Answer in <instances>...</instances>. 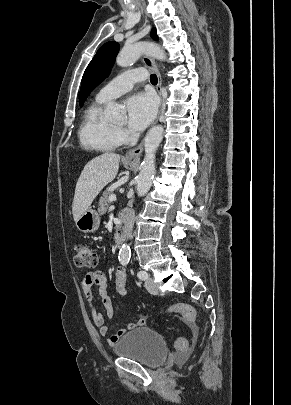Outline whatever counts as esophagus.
Instances as JSON below:
<instances>
[{
    "mask_svg": "<svg viewBox=\"0 0 291 405\" xmlns=\"http://www.w3.org/2000/svg\"><path fill=\"white\" fill-rule=\"evenodd\" d=\"M143 62L146 65V67L153 71L158 79V83H157V91L158 94L161 98V106H160V111L159 114L162 112L163 110V106H164V99H163V95H162V76L161 73L157 67V64L155 62V60L149 56H144L143 57ZM143 147H144V141H142L137 147H135L134 149L129 150L124 158L125 159H138L141 155V153L143 152Z\"/></svg>",
    "mask_w": 291,
    "mask_h": 405,
    "instance_id": "1",
    "label": "esophagus"
}]
</instances>
